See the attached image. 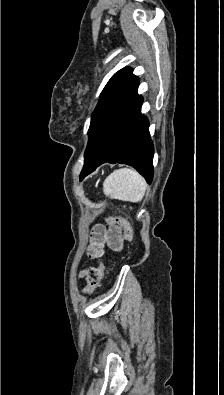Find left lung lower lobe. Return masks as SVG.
<instances>
[{"instance_id":"1","label":"left lung lower lobe","mask_w":224,"mask_h":395,"mask_svg":"<svg viewBox=\"0 0 224 395\" xmlns=\"http://www.w3.org/2000/svg\"><path fill=\"white\" fill-rule=\"evenodd\" d=\"M138 85L136 78L97 113L89 132L81 180L109 162L131 165L151 183L154 148L149 122L141 114L143 100L137 93Z\"/></svg>"}]
</instances>
